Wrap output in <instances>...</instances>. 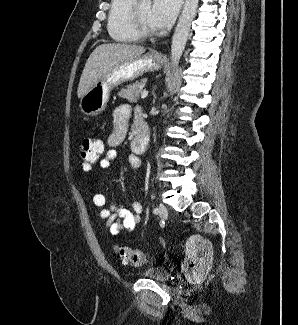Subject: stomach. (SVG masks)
I'll return each mask as SVG.
<instances>
[{
  "label": "stomach",
  "mask_w": 298,
  "mask_h": 325,
  "mask_svg": "<svg viewBox=\"0 0 298 325\" xmlns=\"http://www.w3.org/2000/svg\"><path fill=\"white\" fill-rule=\"evenodd\" d=\"M164 62H166V58H164L163 54L156 52V50H150V52L126 60L122 64H116L80 98L79 106L82 112L88 114V116L100 114L105 110L115 86H119L122 82H128V80H135L145 72L160 70Z\"/></svg>",
  "instance_id": "0dacf381"
}]
</instances>
